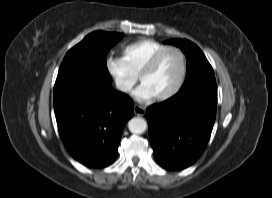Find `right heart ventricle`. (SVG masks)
Masks as SVG:
<instances>
[{
  "label": "right heart ventricle",
  "instance_id": "1",
  "mask_svg": "<svg viewBox=\"0 0 272 198\" xmlns=\"http://www.w3.org/2000/svg\"><path fill=\"white\" fill-rule=\"evenodd\" d=\"M168 47L159 41L142 38L131 42L122 48L123 59L130 69L139 75L149 60L160 50Z\"/></svg>",
  "mask_w": 272,
  "mask_h": 198
}]
</instances>
